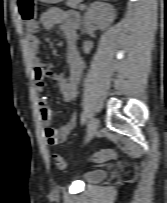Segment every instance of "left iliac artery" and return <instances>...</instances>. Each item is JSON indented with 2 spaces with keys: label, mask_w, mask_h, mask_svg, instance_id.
Segmentation results:
<instances>
[{
  "label": "left iliac artery",
  "mask_w": 167,
  "mask_h": 203,
  "mask_svg": "<svg viewBox=\"0 0 167 203\" xmlns=\"http://www.w3.org/2000/svg\"><path fill=\"white\" fill-rule=\"evenodd\" d=\"M85 121H86V114L83 112V113L81 114V124H84Z\"/></svg>",
  "instance_id": "left-iliac-artery-1"
}]
</instances>
